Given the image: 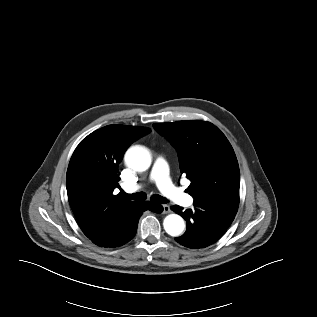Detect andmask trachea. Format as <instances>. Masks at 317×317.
<instances>
[{
	"label": "trachea",
	"instance_id": "1",
	"mask_svg": "<svg viewBox=\"0 0 317 317\" xmlns=\"http://www.w3.org/2000/svg\"><path fill=\"white\" fill-rule=\"evenodd\" d=\"M123 194L132 200H144V199H146V194L144 192H138V193H133V194H127L124 192ZM151 200L156 202V203H160V204L167 203V199L158 195V194L152 195Z\"/></svg>",
	"mask_w": 317,
	"mask_h": 317
}]
</instances>
